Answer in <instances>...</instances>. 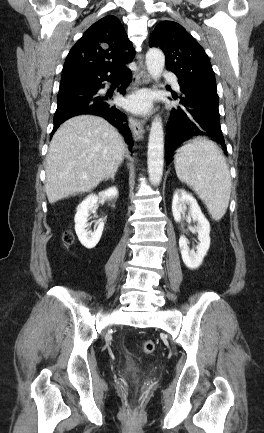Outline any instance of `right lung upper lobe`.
<instances>
[{
  "label": "right lung upper lobe",
  "mask_w": 264,
  "mask_h": 433,
  "mask_svg": "<svg viewBox=\"0 0 264 433\" xmlns=\"http://www.w3.org/2000/svg\"><path fill=\"white\" fill-rule=\"evenodd\" d=\"M135 51L121 22L113 15L94 23L69 52L61 83L81 77L117 73L134 58Z\"/></svg>",
  "instance_id": "obj_1"
}]
</instances>
